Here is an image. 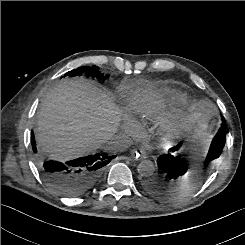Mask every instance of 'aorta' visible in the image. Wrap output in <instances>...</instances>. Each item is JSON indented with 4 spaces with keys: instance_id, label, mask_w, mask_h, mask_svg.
Returning a JSON list of instances; mask_svg holds the SVG:
<instances>
[{
    "instance_id": "obj_1",
    "label": "aorta",
    "mask_w": 245,
    "mask_h": 245,
    "mask_svg": "<svg viewBox=\"0 0 245 245\" xmlns=\"http://www.w3.org/2000/svg\"><path fill=\"white\" fill-rule=\"evenodd\" d=\"M137 170H138L140 175H142L144 177H148L154 173L155 166L151 160H142L139 163Z\"/></svg>"
}]
</instances>
